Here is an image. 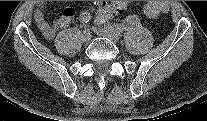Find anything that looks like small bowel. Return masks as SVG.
Listing matches in <instances>:
<instances>
[{
  "label": "small bowel",
  "instance_id": "obj_1",
  "mask_svg": "<svg viewBox=\"0 0 207 121\" xmlns=\"http://www.w3.org/2000/svg\"><path fill=\"white\" fill-rule=\"evenodd\" d=\"M102 4H110V5L115 6L116 9L114 11V14L121 13L126 7L125 2H105L104 1L101 3V5ZM45 8H46L45 2H40L37 5V8L34 13V20L36 22L38 29L44 36V38L47 40H52L55 37L57 31L67 27L70 24V22L73 20L75 16V9L73 7H67L64 10L63 14L57 19H55L53 23L50 24L45 18V13H44Z\"/></svg>",
  "mask_w": 207,
  "mask_h": 121
}]
</instances>
